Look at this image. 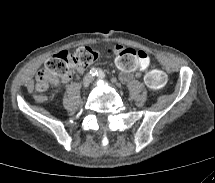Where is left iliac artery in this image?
<instances>
[{
  "instance_id": "left-iliac-artery-1",
  "label": "left iliac artery",
  "mask_w": 215,
  "mask_h": 183,
  "mask_svg": "<svg viewBox=\"0 0 215 183\" xmlns=\"http://www.w3.org/2000/svg\"><path fill=\"white\" fill-rule=\"evenodd\" d=\"M97 76H98L99 78L103 79V78H105V73H104L102 70H99Z\"/></svg>"
}]
</instances>
